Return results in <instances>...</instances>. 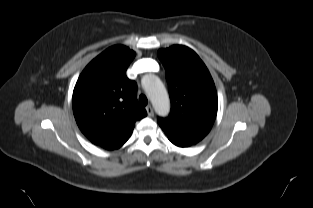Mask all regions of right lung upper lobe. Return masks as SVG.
<instances>
[{
    "mask_svg": "<svg viewBox=\"0 0 313 208\" xmlns=\"http://www.w3.org/2000/svg\"><path fill=\"white\" fill-rule=\"evenodd\" d=\"M135 52L115 45L93 59L73 91V112L82 133L107 150L120 148L135 122L147 115L137 102V85L126 77Z\"/></svg>",
    "mask_w": 313,
    "mask_h": 208,
    "instance_id": "obj_1",
    "label": "right lung upper lobe"
}]
</instances>
